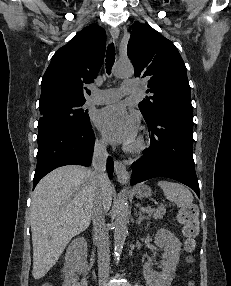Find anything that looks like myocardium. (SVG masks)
I'll return each mask as SVG.
<instances>
[{
  "mask_svg": "<svg viewBox=\"0 0 231 286\" xmlns=\"http://www.w3.org/2000/svg\"><path fill=\"white\" fill-rule=\"evenodd\" d=\"M146 148L145 141L142 138H137L131 145L127 147V150L133 154H140Z\"/></svg>",
  "mask_w": 231,
  "mask_h": 286,
  "instance_id": "f54148a6",
  "label": "myocardium"
}]
</instances>
